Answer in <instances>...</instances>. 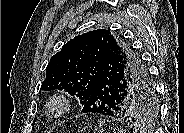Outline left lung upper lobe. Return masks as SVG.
Here are the masks:
<instances>
[{"mask_svg": "<svg viewBox=\"0 0 184 133\" xmlns=\"http://www.w3.org/2000/svg\"><path fill=\"white\" fill-rule=\"evenodd\" d=\"M104 57L115 61L119 68L122 66L126 90L131 92L125 108L126 117L136 127L147 125L157 113L149 72L123 37L113 35L110 30L89 31L63 45L61 51L51 57L41 88L45 91L65 89L70 95L79 97L81 104H85L98 83L100 63ZM142 84L151 87L150 95L143 92Z\"/></svg>", "mask_w": 184, "mask_h": 133, "instance_id": "left-lung-upper-lobe-1", "label": "left lung upper lobe"}]
</instances>
